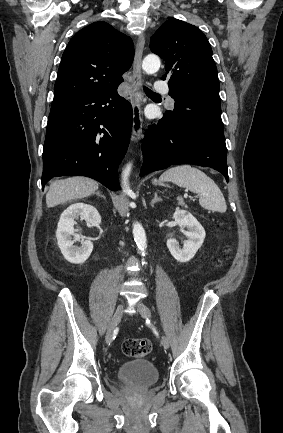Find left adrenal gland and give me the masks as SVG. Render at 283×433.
<instances>
[{
	"instance_id": "1",
	"label": "left adrenal gland",
	"mask_w": 283,
	"mask_h": 433,
	"mask_svg": "<svg viewBox=\"0 0 283 433\" xmlns=\"http://www.w3.org/2000/svg\"><path fill=\"white\" fill-rule=\"evenodd\" d=\"M158 200H162L161 196H158V192H154V198L151 200V206H154L155 202H158Z\"/></svg>"
}]
</instances>
